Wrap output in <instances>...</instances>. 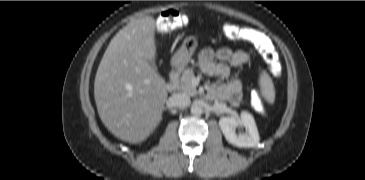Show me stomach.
<instances>
[{"mask_svg": "<svg viewBox=\"0 0 365 180\" xmlns=\"http://www.w3.org/2000/svg\"><path fill=\"white\" fill-rule=\"evenodd\" d=\"M198 47V39L195 36H187L180 48L171 58V65L174 68L182 69L188 65L192 55Z\"/></svg>", "mask_w": 365, "mask_h": 180, "instance_id": "1", "label": "stomach"}]
</instances>
